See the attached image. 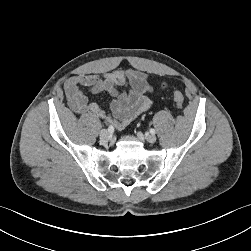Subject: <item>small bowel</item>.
I'll return each mask as SVG.
<instances>
[{
	"instance_id": "obj_1",
	"label": "small bowel",
	"mask_w": 251,
	"mask_h": 251,
	"mask_svg": "<svg viewBox=\"0 0 251 251\" xmlns=\"http://www.w3.org/2000/svg\"><path fill=\"white\" fill-rule=\"evenodd\" d=\"M166 86L165 82L162 83L161 90ZM123 87L128 90L121 91ZM64 88L68 105L75 113L105 119L119 130L151 107L149 94L154 91L148 75L134 69L73 76L65 82ZM86 92L108 93L112 97L109 111L91 100Z\"/></svg>"
}]
</instances>
